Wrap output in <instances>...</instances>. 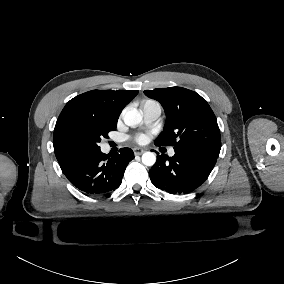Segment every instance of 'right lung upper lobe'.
<instances>
[{"instance_id": "cb5924a9", "label": "right lung upper lobe", "mask_w": 284, "mask_h": 284, "mask_svg": "<svg viewBox=\"0 0 284 284\" xmlns=\"http://www.w3.org/2000/svg\"><path fill=\"white\" fill-rule=\"evenodd\" d=\"M137 94V90H92L71 99L59 115L53 133L54 152L59 164L82 154L68 140L64 131L70 117H87L116 127L121 111Z\"/></svg>"}]
</instances>
